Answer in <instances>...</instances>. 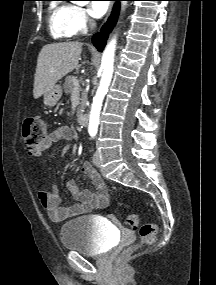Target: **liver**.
<instances>
[{
  "instance_id": "6515ba94",
  "label": "liver",
  "mask_w": 216,
  "mask_h": 285,
  "mask_svg": "<svg viewBox=\"0 0 216 285\" xmlns=\"http://www.w3.org/2000/svg\"><path fill=\"white\" fill-rule=\"evenodd\" d=\"M82 43L63 42L45 45L37 60L33 96L38 99L62 77L78 67Z\"/></svg>"
}]
</instances>
